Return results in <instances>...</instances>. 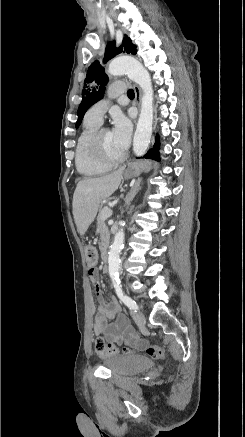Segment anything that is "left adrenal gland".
I'll list each match as a JSON object with an SVG mask.
<instances>
[{"label":"left adrenal gland","mask_w":245,"mask_h":437,"mask_svg":"<svg viewBox=\"0 0 245 437\" xmlns=\"http://www.w3.org/2000/svg\"><path fill=\"white\" fill-rule=\"evenodd\" d=\"M141 181H142V178H138L137 181L135 182V184L130 189V192H128V194L126 195L125 204L127 206H129L131 204V202L135 198L136 194L139 192V190H141Z\"/></svg>","instance_id":"left-adrenal-gland-1"}]
</instances>
